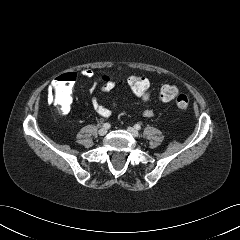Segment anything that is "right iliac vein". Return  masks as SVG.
Instances as JSON below:
<instances>
[{
  "mask_svg": "<svg viewBox=\"0 0 240 240\" xmlns=\"http://www.w3.org/2000/svg\"><path fill=\"white\" fill-rule=\"evenodd\" d=\"M99 135L100 136H104L106 133H107V128H101L99 131H98Z\"/></svg>",
  "mask_w": 240,
  "mask_h": 240,
  "instance_id": "right-iliac-vein-1",
  "label": "right iliac vein"
}]
</instances>
